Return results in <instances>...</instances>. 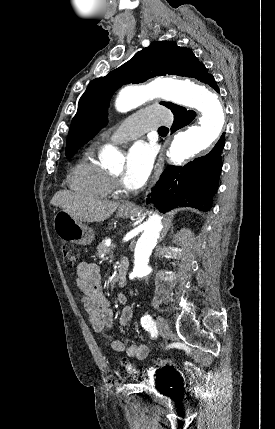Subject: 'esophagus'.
Listing matches in <instances>:
<instances>
[{
  "mask_svg": "<svg viewBox=\"0 0 275 429\" xmlns=\"http://www.w3.org/2000/svg\"><path fill=\"white\" fill-rule=\"evenodd\" d=\"M164 160H165V147H163L159 153L157 162L155 164L154 172H153L151 180H150L148 190H150L155 185V183L158 181V179L162 173V170H163ZM125 206L135 207V204L133 202H126Z\"/></svg>",
  "mask_w": 275,
  "mask_h": 429,
  "instance_id": "esophagus-1",
  "label": "esophagus"
}]
</instances>
